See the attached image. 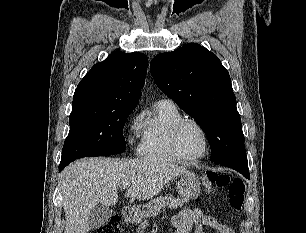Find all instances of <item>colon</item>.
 Here are the masks:
<instances>
[{
  "label": "colon",
  "instance_id": "colon-1",
  "mask_svg": "<svg viewBox=\"0 0 306 233\" xmlns=\"http://www.w3.org/2000/svg\"><path fill=\"white\" fill-rule=\"evenodd\" d=\"M203 186L211 189L214 186H227L229 191V205L232 209L240 211L245 201V182L240 178L231 179L227 175H220L213 171H207L202 178ZM120 219L111 216L96 233H120Z\"/></svg>",
  "mask_w": 306,
  "mask_h": 233
}]
</instances>
